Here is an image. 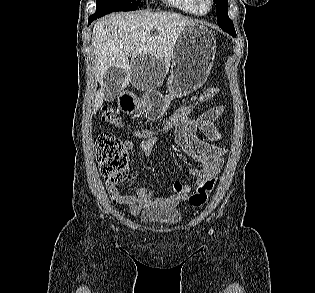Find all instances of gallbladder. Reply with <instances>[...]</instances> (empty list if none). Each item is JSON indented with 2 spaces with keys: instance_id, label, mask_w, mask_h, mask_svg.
<instances>
[{
  "instance_id": "1",
  "label": "gallbladder",
  "mask_w": 315,
  "mask_h": 293,
  "mask_svg": "<svg viewBox=\"0 0 315 293\" xmlns=\"http://www.w3.org/2000/svg\"><path fill=\"white\" fill-rule=\"evenodd\" d=\"M126 72L120 68L109 67L103 75L104 99L112 101L121 89Z\"/></svg>"
}]
</instances>
